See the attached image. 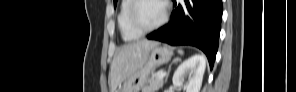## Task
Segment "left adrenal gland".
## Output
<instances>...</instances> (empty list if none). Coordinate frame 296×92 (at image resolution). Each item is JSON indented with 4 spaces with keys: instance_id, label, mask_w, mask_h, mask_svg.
Listing matches in <instances>:
<instances>
[{
    "instance_id": "obj_1",
    "label": "left adrenal gland",
    "mask_w": 296,
    "mask_h": 92,
    "mask_svg": "<svg viewBox=\"0 0 296 92\" xmlns=\"http://www.w3.org/2000/svg\"><path fill=\"white\" fill-rule=\"evenodd\" d=\"M178 61H180V58H175V59H173L172 63L169 65L168 70H167V73H166V75H165V83L167 82V79H168L169 72H170V70H171V66H172V64H173V63H177Z\"/></svg>"
}]
</instances>
